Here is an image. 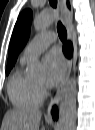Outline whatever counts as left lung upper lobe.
I'll return each instance as SVG.
<instances>
[{
	"instance_id": "obj_1",
	"label": "left lung upper lobe",
	"mask_w": 95,
	"mask_h": 130,
	"mask_svg": "<svg viewBox=\"0 0 95 130\" xmlns=\"http://www.w3.org/2000/svg\"><path fill=\"white\" fill-rule=\"evenodd\" d=\"M31 20V10H24L17 19L9 47V58L6 68L7 74L13 67L18 54L23 49L28 40Z\"/></svg>"
}]
</instances>
